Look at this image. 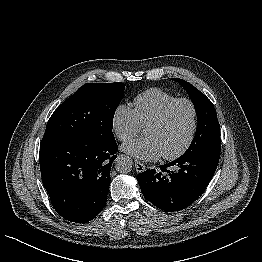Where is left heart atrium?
Segmentation results:
<instances>
[{"instance_id": "left-heart-atrium-1", "label": "left heart atrium", "mask_w": 262, "mask_h": 262, "mask_svg": "<svg viewBox=\"0 0 262 262\" xmlns=\"http://www.w3.org/2000/svg\"><path fill=\"white\" fill-rule=\"evenodd\" d=\"M122 149L133 157L145 161H155L163 155L157 141L152 137L130 141L124 144Z\"/></svg>"}]
</instances>
